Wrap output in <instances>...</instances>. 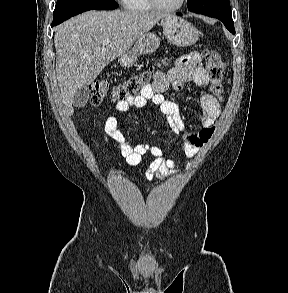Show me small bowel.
<instances>
[{
  "label": "small bowel",
  "mask_w": 288,
  "mask_h": 293,
  "mask_svg": "<svg viewBox=\"0 0 288 293\" xmlns=\"http://www.w3.org/2000/svg\"><path fill=\"white\" fill-rule=\"evenodd\" d=\"M154 81L146 86L137 96L116 103L118 112H126L131 107L143 108L148 102L158 106L164 114L168 126L172 132L181 138V147L184 154L193 158L201 147L213 136L215 125L220 116L221 109L218 100L210 95L201 97V128L198 131L187 129L179 106L165 98L164 92L172 86L181 91L186 82H193L199 87H205L209 83V76L201 64V57L193 52L185 55L174 62L173 67L167 72L156 71ZM105 135L115 143L119 153L125 158L129 165H138L146 154L153 156L145 177L149 182L158 177L164 179L174 173L175 163L164 157L163 150L156 144H133L126 135L118 128V118L113 115L107 118L104 126ZM191 162L187 168L191 167Z\"/></svg>",
  "instance_id": "obj_1"
}]
</instances>
